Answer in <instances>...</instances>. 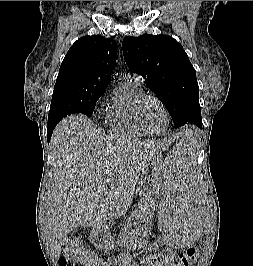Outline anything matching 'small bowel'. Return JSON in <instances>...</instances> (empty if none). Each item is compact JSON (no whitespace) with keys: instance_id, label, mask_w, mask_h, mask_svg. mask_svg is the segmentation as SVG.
Returning <instances> with one entry per match:
<instances>
[{"instance_id":"c3829d8e","label":"small bowel","mask_w":253,"mask_h":266,"mask_svg":"<svg viewBox=\"0 0 253 266\" xmlns=\"http://www.w3.org/2000/svg\"><path fill=\"white\" fill-rule=\"evenodd\" d=\"M150 257H144L142 258L140 264L141 266H145L144 263L149 259ZM102 262V266H110L107 262L101 261ZM118 263L119 266H136L135 262H134V257L129 254V253H122L119 257H118Z\"/></svg>"}]
</instances>
